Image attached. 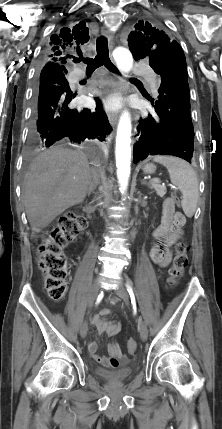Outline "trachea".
<instances>
[{"mask_svg": "<svg viewBox=\"0 0 222 429\" xmlns=\"http://www.w3.org/2000/svg\"><path fill=\"white\" fill-rule=\"evenodd\" d=\"M96 49H97V55L95 56L94 59L93 58L84 59L80 56L79 58H76L74 62L77 63V62L83 61L85 64H87L86 71L88 73H91L98 67L104 65L110 71L119 74L118 69L112 64L109 58L108 42L104 36H101L97 39Z\"/></svg>", "mask_w": 222, "mask_h": 429, "instance_id": "1", "label": "trachea"}]
</instances>
